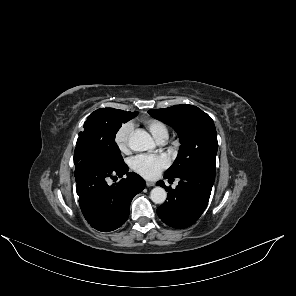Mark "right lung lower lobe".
<instances>
[{
  "label": "right lung lower lobe",
  "mask_w": 296,
  "mask_h": 296,
  "mask_svg": "<svg viewBox=\"0 0 296 296\" xmlns=\"http://www.w3.org/2000/svg\"><path fill=\"white\" fill-rule=\"evenodd\" d=\"M76 191L87 222L96 230L109 232L122 226L129 216L133 197L145 187V181L122 164L111 166L101 155L82 146L74 153ZM126 175L109 185L108 179Z\"/></svg>",
  "instance_id": "obj_1"
}]
</instances>
